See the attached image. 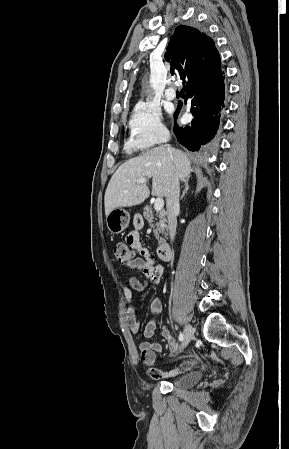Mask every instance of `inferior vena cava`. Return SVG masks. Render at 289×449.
<instances>
[{
  "label": "inferior vena cava",
  "instance_id": "inferior-vena-cava-1",
  "mask_svg": "<svg viewBox=\"0 0 289 449\" xmlns=\"http://www.w3.org/2000/svg\"><path fill=\"white\" fill-rule=\"evenodd\" d=\"M168 139L169 138H167L166 141ZM179 195H180L179 178L175 173H173L169 193L166 198L168 230L171 240H174L176 234L177 214L179 212Z\"/></svg>",
  "mask_w": 289,
  "mask_h": 449
}]
</instances>
